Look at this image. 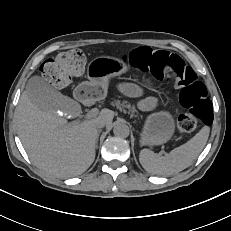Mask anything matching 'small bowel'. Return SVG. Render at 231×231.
I'll use <instances>...</instances> for the list:
<instances>
[{"mask_svg":"<svg viewBox=\"0 0 231 231\" xmlns=\"http://www.w3.org/2000/svg\"><path fill=\"white\" fill-rule=\"evenodd\" d=\"M119 89L124 92V93H134L135 92V87L130 85V84H126V83H122L119 85ZM151 101H146L144 102V106H150L151 105Z\"/></svg>","mask_w":231,"mask_h":231,"instance_id":"c3829d8e","label":"small bowel"}]
</instances>
